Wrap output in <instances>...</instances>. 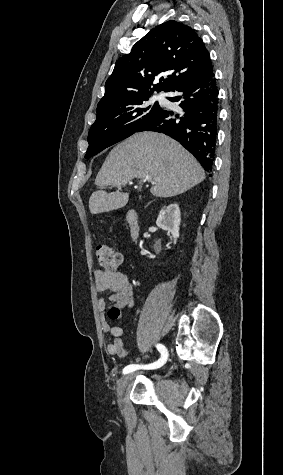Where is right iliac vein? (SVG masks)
Segmentation results:
<instances>
[{
	"label": "right iliac vein",
	"instance_id": "obj_1",
	"mask_svg": "<svg viewBox=\"0 0 283 475\" xmlns=\"http://www.w3.org/2000/svg\"><path fill=\"white\" fill-rule=\"evenodd\" d=\"M134 374H126L121 377V379L117 383V398L120 399L123 395V392L128 385V383L131 381L133 378Z\"/></svg>",
	"mask_w": 283,
	"mask_h": 475
}]
</instances>
